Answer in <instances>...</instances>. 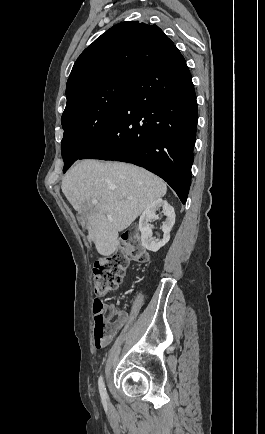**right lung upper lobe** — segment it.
Instances as JSON below:
<instances>
[{"mask_svg": "<svg viewBox=\"0 0 265 434\" xmlns=\"http://www.w3.org/2000/svg\"><path fill=\"white\" fill-rule=\"evenodd\" d=\"M174 43L156 25L126 21L107 30L76 60L66 91L112 75L137 76Z\"/></svg>", "mask_w": 265, "mask_h": 434, "instance_id": "obj_1", "label": "right lung upper lobe"}]
</instances>
